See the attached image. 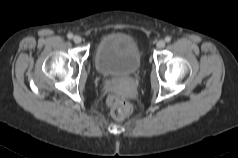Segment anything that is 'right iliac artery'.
I'll list each match as a JSON object with an SVG mask.
<instances>
[{"label":"right iliac artery","instance_id":"82829eb1","mask_svg":"<svg viewBox=\"0 0 238 158\" xmlns=\"http://www.w3.org/2000/svg\"><path fill=\"white\" fill-rule=\"evenodd\" d=\"M67 37H68L69 39H72V38H73V34H72V33H68Z\"/></svg>","mask_w":238,"mask_h":158}]
</instances>
